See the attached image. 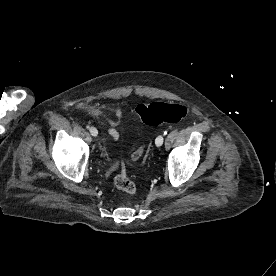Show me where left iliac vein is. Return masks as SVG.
I'll return each mask as SVG.
<instances>
[{
    "label": "left iliac vein",
    "instance_id": "4c4485c4",
    "mask_svg": "<svg viewBox=\"0 0 276 276\" xmlns=\"http://www.w3.org/2000/svg\"><path fill=\"white\" fill-rule=\"evenodd\" d=\"M163 142H164V137L162 135H159L155 140V144L157 146H161L163 144Z\"/></svg>",
    "mask_w": 276,
    "mask_h": 276
}]
</instances>
